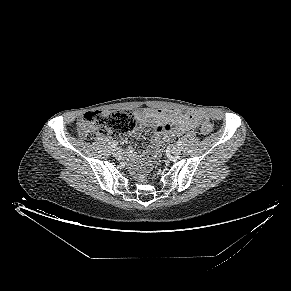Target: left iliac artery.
<instances>
[{"label": "left iliac artery", "mask_w": 291, "mask_h": 291, "mask_svg": "<svg viewBox=\"0 0 291 291\" xmlns=\"http://www.w3.org/2000/svg\"><path fill=\"white\" fill-rule=\"evenodd\" d=\"M177 145H178V146H181V145H182V141H181V140H178V141H177Z\"/></svg>", "instance_id": "left-iliac-artery-1"}]
</instances>
